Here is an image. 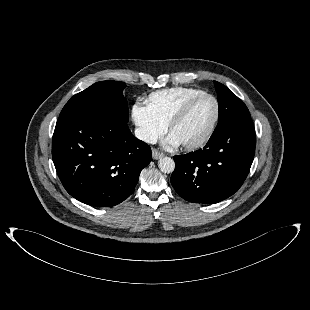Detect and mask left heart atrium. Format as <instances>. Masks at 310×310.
Wrapping results in <instances>:
<instances>
[{
  "instance_id": "39dd6f15",
  "label": "left heart atrium",
  "mask_w": 310,
  "mask_h": 310,
  "mask_svg": "<svg viewBox=\"0 0 310 310\" xmlns=\"http://www.w3.org/2000/svg\"><path fill=\"white\" fill-rule=\"evenodd\" d=\"M164 144L167 146H176L179 144L176 137L171 133L164 141Z\"/></svg>"
}]
</instances>
